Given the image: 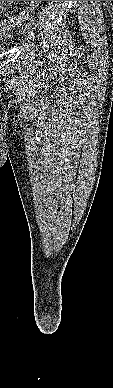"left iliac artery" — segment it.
I'll list each match as a JSON object with an SVG mask.
<instances>
[{
  "instance_id": "44dca946",
  "label": "left iliac artery",
  "mask_w": 113,
  "mask_h": 388,
  "mask_svg": "<svg viewBox=\"0 0 113 388\" xmlns=\"http://www.w3.org/2000/svg\"><path fill=\"white\" fill-rule=\"evenodd\" d=\"M28 24L33 26V29H34V27H36V23L33 19H29Z\"/></svg>"
}]
</instances>
